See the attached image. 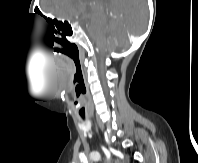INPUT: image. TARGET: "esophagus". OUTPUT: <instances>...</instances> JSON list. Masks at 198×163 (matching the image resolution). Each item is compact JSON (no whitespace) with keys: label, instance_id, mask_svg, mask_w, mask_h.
Masks as SVG:
<instances>
[{"label":"esophagus","instance_id":"obj_1","mask_svg":"<svg viewBox=\"0 0 198 163\" xmlns=\"http://www.w3.org/2000/svg\"><path fill=\"white\" fill-rule=\"evenodd\" d=\"M95 130H96V133H98V128H97V126L95 127Z\"/></svg>","mask_w":198,"mask_h":163}]
</instances>
